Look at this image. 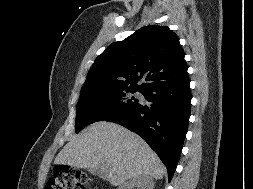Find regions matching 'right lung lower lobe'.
Listing matches in <instances>:
<instances>
[{"mask_svg":"<svg viewBox=\"0 0 253 189\" xmlns=\"http://www.w3.org/2000/svg\"><path fill=\"white\" fill-rule=\"evenodd\" d=\"M189 77L144 90L152 104L138 102L133 108L108 118L141 136L167 168L169 182L180 159L191 115Z\"/></svg>","mask_w":253,"mask_h":189,"instance_id":"right-lung-lower-lobe-1","label":"right lung lower lobe"}]
</instances>
